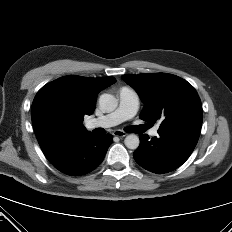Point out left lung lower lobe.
Here are the masks:
<instances>
[{"instance_id":"obj_1","label":"left lung lower lobe","mask_w":232,"mask_h":232,"mask_svg":"<svg viewBox=\"0 0 232 232\" xmlns=\"http://www.w3.org/2000/svg\"><path fill=\"white\" fill-rule=\"evenodd\" d=\"M158 137L140 135V145L134 152L135 161L144 169L162 174L181 166L193 152L200 130L176 128L158 130Z\"/></svg>"}]
</instances>
